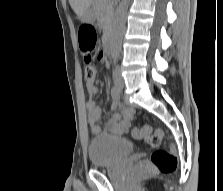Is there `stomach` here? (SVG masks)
<instances>
[{"label":"stomach","instance_id":"0dacf381","mask_svg":"<svg viewBox=\"0 0 223 191\" xmlns=\"http://www.w3.org/2000/svg\"><path fill=\"white\" fill-rule=\"evenodd\" d=\"M81 20L85 23H92L95 20V14L90 7L83 12Z\"/></svg>","mask_w":223,"mask_h":191}]
</instances>
